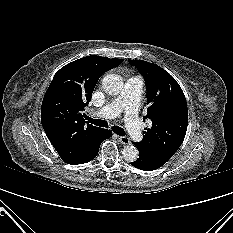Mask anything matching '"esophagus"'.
Here are the masks:
<instances>
[{
    "label": "esophagus",
    "instance_id": "1",
    "mask_svg": "<svg viewBox=\"0 0 233 233\" xmlns=\"http://www.w3.org/2000/svg\"><path fill=\"white\" fill-rule=\"evenodd\" d=\"M118 140L122 144H129L130 143V139L127 136H118Z\"/></svg>",
    "mask_w": 233,
    "mask_h": 233
}]
</instances>
